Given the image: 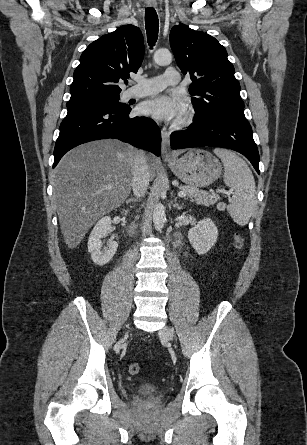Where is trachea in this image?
<instances>
[{"label":"trachea","mask_w":307,"mask_h":445,"mask_svg":"<svg viewBox=\"0 0 307 445\" xmlns=\"http://www.w3.org/2000/svg\"><path fill=\"white\" fill-rule=\"evenodd\" d=\"M145 25L148 43L150 47H153V45H155V42L157 41L159 31L158 15L154 8H146Z\"/></svg>","instance_id":"obj_1"}]
</instances>
